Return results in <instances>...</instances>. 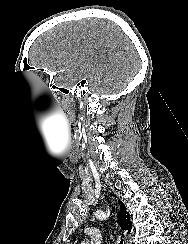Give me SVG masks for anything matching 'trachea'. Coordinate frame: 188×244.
Here are the masks:
<instances>
[{
    "instance_id": "1",
    "label": "trachea",
    "mask_w": 188,
    "mask_h": 244,
    "mask_svg": "<svg viewBox=\"0 0 188 244\" xmlns=\"http://www.w3.org/2000/svg\"><path fill=\"white\" fill-rule=\"evenodd\" d=\"M120 244H123V241L122 240L120 241Z\"/></svg>"
}]
</instances>
